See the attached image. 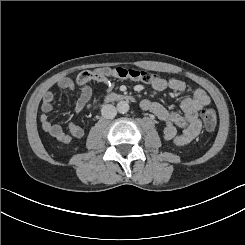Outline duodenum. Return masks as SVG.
Instances as JSON below:
<instances>
[{"mask_svg":"<svg viewBox=\"0 0 245 245\" xmlns=\"http://www.w3.org/2000/svg\"><path fill=\"white\" fill-rule=\"evenodd\" d=\"M131 97L125 94L111 93L106 97L107 101H120L125 99H130Z\"/></svg>","mask_w":245,"mask_h":245,"instance_id":"duodenum-1","label":"duodenum"}]
</instances>
